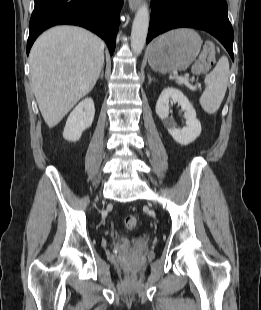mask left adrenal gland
Instances as JSON below:
<instances>
[{
  "label": "left adrenal gland",
  "instance_id": "a2214340",
  "mask_svg": "<svg viewBox=\"0 0 261 310\" xmlns=\"http://www.w3.org/2000/svg\"><path fill=\"white\" fill-rule=\"evenodd\" d=\"M155 80L154 78L151 77V75H148V81H149V84L151 83V81Z\"/></svg>",
  "mask_w": 261,
  "mask_h": 310
}]
</instances>
